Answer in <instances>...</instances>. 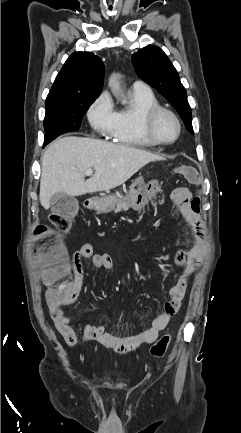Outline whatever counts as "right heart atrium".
I'll use <instances>...</instances> for the list:
<instances>
[{"label": "right heart atrium", "mask_w": 241, "mask_h": 433, "mask_svg": "<svg viewBox=\"0 0 241 433\" xmlns=\"http://www.w3.org/2000/svg\"><path fill=\"white\" fill-rule=\"evenodd\" d=\"M87 117L90 125L102 135L113 131L116 111L107 94H102L89 108Z\"/></svg>", "instance_id": "right-heart-atrium-1"}]
</instances>
